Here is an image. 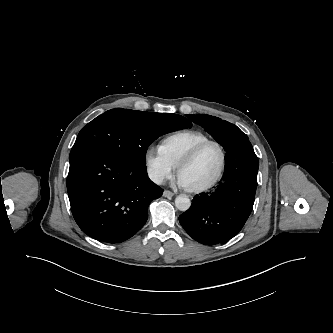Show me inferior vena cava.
Wrapping results in <instances>:
<instances>
[{
  "label": "inferior vena cava",
  "mask_w": 333,
  "mask_h": 333,
  "mask_svg": "<svg viewBox=\"0 0 333 333\" xmlns=\"http://www.w3.org/2000/svg\"><path fill=\"white\" fill-rule=\"evenodd\" d=\"M150 179L156 184H162L164 178L157 173H149Z\"/></svg>",
  "instance_id": "602c4592"
}]
</instances>
